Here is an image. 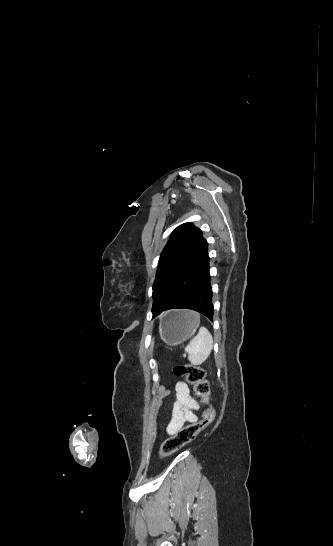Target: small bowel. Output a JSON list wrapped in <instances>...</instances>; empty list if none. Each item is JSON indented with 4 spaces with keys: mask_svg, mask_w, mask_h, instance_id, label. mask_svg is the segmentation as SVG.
I'll return each mask as SVG.
<instances>
[{
    "mask_svg": "<svg viewBox=\"0 0 333 546\" xmlns=\"http://www.w3.org/2000/svg\"><path fill=\"white\" fill-rule=\"evenodd\" d=\"M176 401L172 408L171 418L167 426V433L172 435L188 422H195L197 416L194 413L199 405L190 396L189 388L183 381L175 385Z\"/></svg>",
    "mask_w": 333,
    "mask_h": 546,
    "instance_id": "1",
    "label": "small bowel"
}]
</instances>
